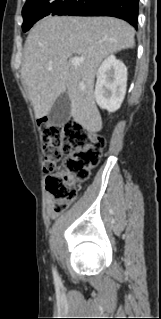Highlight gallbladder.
<instances>
[{
	"label": "gallbladder",
	"instance_id": "bac80fb5",
	"mask_svg": "<svg viewBox=\"0 0 161 319\" xmlns=\"http://www.w3.org/2000/svg\"><path fill=\"white\" fill-rule=\"evenodd\" d=\"M71 116V101L67 92L62 93L51 107L48 118L53 125L64 124Z\"/></svg>",
	"mask_w": 161,
	"mask_h": 319
}]
</instances>
